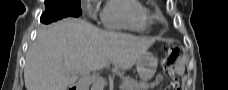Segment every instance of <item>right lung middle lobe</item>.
<instances>
[{
  "instance_id": "right-lung-middle-lobe-1",
  "label": "right lung middle lobe",
  "mask_w": 228,
  "mask_h": 90,
  "mask_svg": "<svg viewBox=\"0 0 228 90\" xmlns=\"http://www.w3.org/2000/svg\"><path fill=\"white\" fill-rule=\"evenodd\" d=\"M81 0H45L46 8L56 9L55 14L78 17L81 15ZM42 22V21H41Z\"/></svg>"
}]
</instances>
